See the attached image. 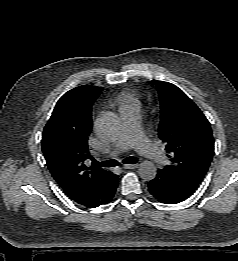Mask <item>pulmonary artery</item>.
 I'll return each instance as SVG.
<instances>
[{
    "label": "pulmonary artery",
    "instance_id": "pulmonary-artery-1",
    "mask_svg": "<svg viewBox=\"0 0 238 261\" xmlns=\"http://www.w3.org/2000/svg\"><path fill=\"white\" fill-rule=\"evenodd\" d=\"M121 132L110 151L111 156H117L129 148L136 149L156 163H162L165 156L158 147L153 145L144 135L141 128L140 110L138 107H128L120 110Z\"/></svg>",
    "mask_w": 238,
    "mask_h": 261
}]
</instances>
